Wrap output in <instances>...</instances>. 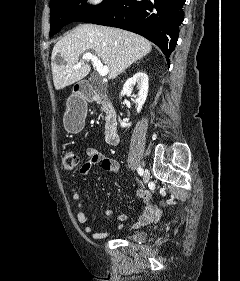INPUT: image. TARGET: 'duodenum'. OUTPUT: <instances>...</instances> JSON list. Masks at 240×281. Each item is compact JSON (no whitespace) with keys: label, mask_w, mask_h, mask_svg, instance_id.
I'll use <instances>...</instances> for the list:
<instances>
[{"label":"duodenum","mask_w":240,"mask_h":281,"mask_svg":"<svg viewBox=\"0 0 240 281\" xmlns=\"http://www.w3.org/2000/svg\"><path fill=\"white\" fill-rule=\"evenodd\" d=\"M79 96L85 101H101L107 108V120L105 124V141L114 145L119 141L117 118L113 108L95 92L91 86H83L78 91Z\"/></svg>","instance_id":"410a0bca"}]
</instances>
